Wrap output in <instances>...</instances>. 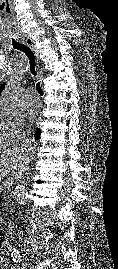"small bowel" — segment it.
<instances>
[{"label":"small bowel","mask_w":118,"mask_h":269,"mask_svg":"<svg viewBox=\"0 0 118 269\" xmlns=\"http://www.w3.org/2000/svg\"><path fill=\"white\" fill-rule=\"evenodd\" d=\"M1 265H2L3 267H6V265H7V261H6L5 259H2V260H1Z\"/></svg>","instance_id":"1"}]
</instances>
